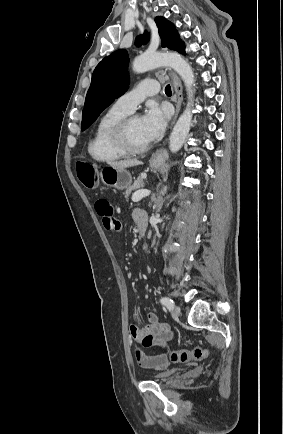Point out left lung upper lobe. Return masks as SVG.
<instances>
[{
	"label": "left lung upper lobe",
	"mask_w": 283,
	"mask_h": 434,
	"mask_svg": "<svg viewBox=\"0 0 283 434\" xmlns=\"http://www.w3.org/2000/svg\"><path fill=\"white\" fill-rule=\"evenodd\" d=\"M162 47H167L185 54V45L179 38L175 26L162 16L155 18ZM149 41L147 31L137 37L136 45ZM128 53L124 49L117 50L105 57L95 68L91 85L86 95L81 129L88 128L116 98L123 95L129 88L130 80L127 73Z\"/></svg>",
	"instance_id": "5c2ea615"
}]
</instances>
